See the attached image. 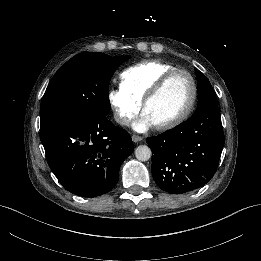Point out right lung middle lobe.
<instances>
[{"label":"right lung middle lobe","instance_id":"obj_1","mask_svg":"<svg viewBox=\"0 0 261 261\" xmlns=\"http://www.w3.org/2000/svg\"><path fill=\"white\" fill-rule=\"evenodd\" d=\"M130 56L83 52L67 61L50 81L40 106V128L57 119L110 111L109 83Z\"/></svg>","mask_w":261,"mask_h":261}]
</instances>
